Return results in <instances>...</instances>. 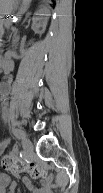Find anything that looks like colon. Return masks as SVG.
I'll list each match as a JSON object with an SVG mask.
<instances>
[{
    "instance_id": "1",
    "label": "colon",
    "mask_w": 103,
    "mask_h": 193,
    "mask_svg": "<svg viewBox=\"0 0 103 193\" xmlns=\"http://www.w3.org/2000/svg\"><path fill=\"white\" fill-rule=\"evenodd\" d=\"M2 166L12 173L28 172L34 179L46 178L47 171L40 165L33 162H24L15 153L3 157Z\"/></svg>"
}]
</instances>
